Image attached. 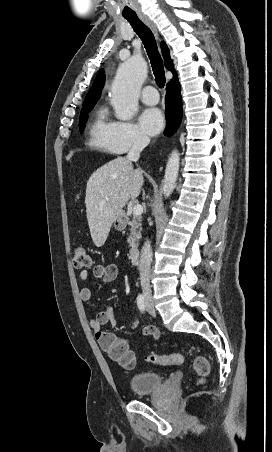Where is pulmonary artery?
<instances>
[{
	"label": "pulmonary artery",
	"mask_w": 272,
	"mask_h": 452,
	"mask_svg": "<svg viewBox=\"0 0 272 452\" xmlns=\"http://www.w3.org/2000/svg\"><path fill=\"white\" fill-rule=\"evenodd\" d=\"M141 100L147 105H155L159 101L157 90L151 85L145 86L141 93Z\"/></svg>",
	"instance_id": "e3ab8cb5"
}]
</instances>
